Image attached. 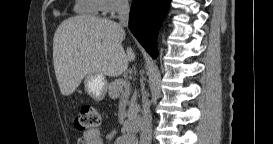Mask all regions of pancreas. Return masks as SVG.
<instances>
[{
    "instance_id": "cf45deb5",
    "label": "pancreas",
    "mask_w": 273,
    "mask_h": 144,
    "mask_svg": "<svg viewBox=\"0 0 273 144\" xmlns=\"http://www.w3.org/2000/svg\"><path fill=\"white\" fill-rule=\"evenodd\" d=\"M127 80L116 79L107 86L108 94L112 99H117L121 96H128L129 91L127 90ZM121 95V96H120ZM136 95H134L129 102V110L127 112L128 119L130 120L139 111V106L136 102Z\"/></svg>"
}]
</instances>
